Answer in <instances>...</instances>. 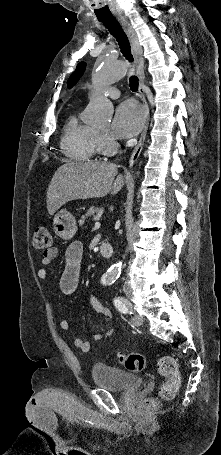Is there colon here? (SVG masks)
<instances>
[{"label": "colon", "mask_w": 221, "mask_h": 455, "mask_svg": "<svg viewBox=\"0 0 221 455\" xmlns=\"http://www.w3.org/2000/svg\"><path fill=\"white\" fill-rule=\"evenodd\" d=\"M51 243V233L47 228L39 227L35 230L33 245L36 249L46 251L51 248ZM120 362L132 372H140L146 367V358L139 353L122 355ZM158 370L166 378L160 385L159 396L162 399H171L181 384L177 361L171 356H163L158 361ZM156 405L155 400L147 402L148 407H155Z\"/></svg>", "instance_id": "colon-1"}]
</instances>
